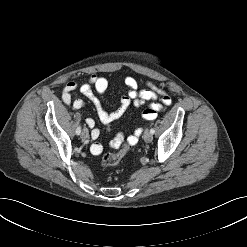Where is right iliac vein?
Instances as JSON below:
<instances>
[{"instance_id":"63e3f726","label":"right iliac vein","mask_w":247,"mask_h":247,"mask_svg":"<svg viewBox=\"0 0 247 247\" xmlns=\"http://www.w3.org/2000/svg\"><path fill=\"white\" fill-rule=\"evenodd\" d=\"M89 136V132H88V129L87 128H84L81 132V138L82 139H87Z\"/></svg>"}]
</instances>
